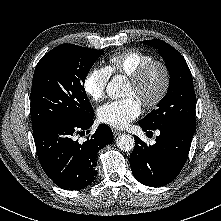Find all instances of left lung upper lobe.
<instances>
[{"label": "left lung upper lobe", "instance_id": "obj_1", "mask_svg": "<svg viewBox=\"0 0 221 221\" xmlns=\"http://www.w3.org/2000/svg\"><path fill=\"white\" fill-rule=\"evenodd\" d=\"M144 43L156 48L165 59L170 81L168 91L158 103V107L140 122L150 128L172 123L196 128L193 79L185 59L171 45L162 40L152 39Z\"/></svg>", "mask_w": 221, "mask_h": 221}]
</instances>
